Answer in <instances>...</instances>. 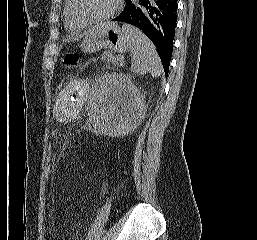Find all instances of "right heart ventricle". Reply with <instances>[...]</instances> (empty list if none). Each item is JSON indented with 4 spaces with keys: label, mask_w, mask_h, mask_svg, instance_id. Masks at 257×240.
Listing matches in <instances>:
<instances>
[{
    "label": "right heart ventricle",
    "mask_w": 257,
    "mask_h": 240,
    "mask_svg": "<svg viewBox=\"0 0 257 240\" xmlns=\"http://www.w3.org/2000/svg\"><path fill=\"white\" fill-rule=\"evenodd\" d=\"M63 16H64L65 29L69 33H78L84 29L85 26H82V25L76 23L73 20V18L71 17L69 0H66V2H65Z\"/></svg>",
    "instance_id": "e07e8e85"
}]
</instances>
